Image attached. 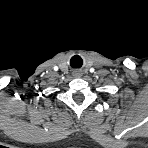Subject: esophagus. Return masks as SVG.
<instances>
[{
	"label": "esophagus",
	"mask_w": 148,
	"mask_h": 148,
	"mask_svg": "<svg viewBox=\"0 0 148 148\" xmlns=\"http://www.w3.org/2000/svg\"><path fill=\"white\" fill-rule=\"evenodd\" d=\"M74 75H75V76L80 75V74H79V71H78V70H75V71H74Z\"/></svg>",
	"instance_id": "obj_1"
}]
</instances>
